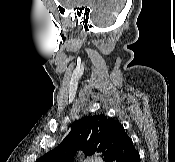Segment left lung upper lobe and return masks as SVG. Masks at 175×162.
Masks as SVG:
<instances>
[{"label":"left lung upper lobe","mask_w":175,"mask_h":162,"mask_svg":"<svg viewBox=\"0 0 175 162\" xmlns=\"http://www.w3.org/2000/svg\"><path fill=\"white\" fill-rule=\"evenodd\" d=\"M125 133L118 121L105 115L85 117L72 124L70 133L58 147L36 162H71L79 150L85 155H92L96 151L104 152V160L108 162Z\"/></svg>","instance_id":"5c2ea615"}]
</instances>
